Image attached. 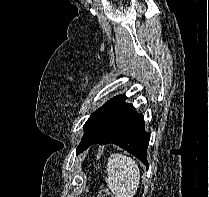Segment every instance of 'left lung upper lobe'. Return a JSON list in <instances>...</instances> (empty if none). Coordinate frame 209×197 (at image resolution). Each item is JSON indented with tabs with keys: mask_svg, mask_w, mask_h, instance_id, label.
Masks as SVG:
<instances>
[{
	"mask_svg": "<svg viewBox=\"0 0 209 197\" xmlns=\"http://www.w3.org/2000/svg\"><path fill=\"white\" fill-rule=\"evenodd\" d=\"M120 95L110 99L107 101L102 107H100L98 110H96L86 121L85 125L83 126L84 132L87 131V129L93 124V122L99 117V115L117 98H119Z\"/></svg>",
	"mask_w": 209,
	"mask_h": 197,
	"instance_id": "1",
	"label": "left lung upper lobe"
}]
</instances>
